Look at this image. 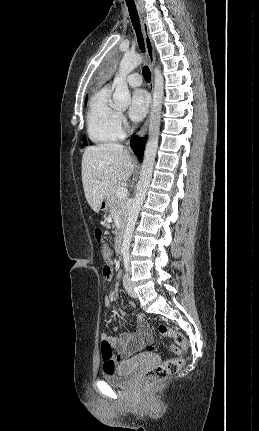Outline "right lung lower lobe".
I'll use <instances>...</instances> for the list:
<instances>
[{
    "mask_svg": "<svg viewBox=\"0 0 259 431\" xmlns=\"http://www.w3.org/2000/svg\"><path fill=\"white\" fill-rule=\"evenodd\" d=\"M144 139L143 138H137L134 137L131 140V147L134 149L135 153L138 155L139 161H141L143 152H144Z\"/></svg>",
    "mask_w": 259,
    "mask_h": 431,
    "instance_id": "obj_1",
    "label": "right lung lower lobe"
}]
</instances>
